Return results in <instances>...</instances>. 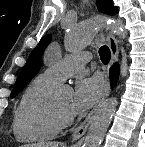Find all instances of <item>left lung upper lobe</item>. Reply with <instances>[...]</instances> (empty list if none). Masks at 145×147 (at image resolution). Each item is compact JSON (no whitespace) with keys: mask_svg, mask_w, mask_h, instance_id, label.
<instances>
[{"mask_svg":"<svg viewBox=\"0 0 145 147\" xmlns=\"http://www.w3.org/2000/svg\"><path fill=\"white\" fill-rule=\"evenodd\" d=\"M97 7L99 11L115 15L118 13L117 7L113 6L112 0H97ZM51 41V35H46L41 39L39 44L33 49L26 64L23 66L18 79L14 85L10 97L14 98L17 96L25 86L32 80V78L38 73L41 67V58L46 46Z\"/></svg>","mask_w":145,"mask_h":147,"instance_id":"5c2ea615","label":"left lung upper lobe"}]
</instances>
